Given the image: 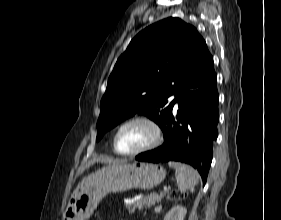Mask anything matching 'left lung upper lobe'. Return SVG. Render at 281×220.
Returning a JSON list of instances; mask_svg holds the SVG:
<instances>
[{
    "label": "left lung upper lobe",
    "mask_w": 281,
    "mask_h": 220,
    "mask_svg": "<svg viewBox=\"0 0 281 220\" xmlns=\"http://www.w3.org/2000/svg\"><path fill=\"white\" fill-rule=\"evenodd\" d=\"M208 51L197 29L166 18L139 32L118 58L101 100L97 141L138 113L162 129L172 112L173 95L191 66Z\"/></svg>",
    "instance_id": "5c2ea615"
}]
</instances>
